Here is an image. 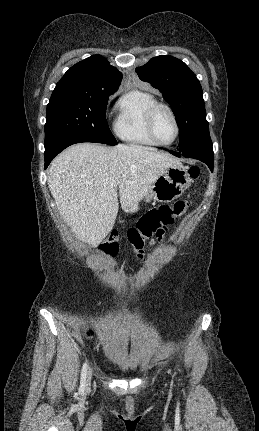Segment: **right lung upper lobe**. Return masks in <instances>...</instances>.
I'll return each mask as SVG.
<instances>
[{
	"label": "right lung upper lobe",
	"instance_id": "1",
	"mask_svg": "<svg viewBox=\"0 0 259 431\" xmlns=\"http://www.w3.org/2000/svg\"><path fill=\"white\" fill-rule=\"evenodd\" d=\"M122 74L101 55H93L72 66L53 92L103 94L118 89Z\"/></svg>",
	"mask_w": 259,
	"mask_h": 431
}]
</instances>
